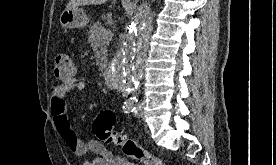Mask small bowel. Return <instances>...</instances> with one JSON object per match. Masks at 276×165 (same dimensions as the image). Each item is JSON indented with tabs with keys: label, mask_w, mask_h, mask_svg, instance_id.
Wrapping results in <instances>:
<instances>
[{
	"label": "small bowel",
	"mask_w": 276,
	"mask_h": 165,
	"mask_svg": "<svg viewBox=\"0 0 276 165\" xmlns=\"http://www.w3.org/2000/svg\"><path fill=\"white\" fill-rule=\"evenodd\" d=\"M89 81L85 78H70L60 84L51 86V114L56 129L67 147L77 156L94 154L91 160L84 161L81 165H113L115 159L112 153L99 140H80L72 129L67 115L66 97L71 91L85 90Z\"/></svg>",
	"instance_id": "1"
}]
</instances>
